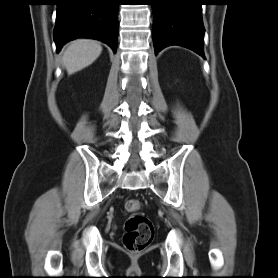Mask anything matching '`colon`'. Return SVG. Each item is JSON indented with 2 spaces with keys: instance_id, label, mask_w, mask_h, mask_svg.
Here are the masks:
<instances>
[{
  "instance_id": "obj_1",
  "label": "colon",
  "mask_w": 278,
  "mask_h": 278,
  "mask_svg": "<svg viewBox=\"0 0 278 278\" xmlns=\"http://www.w3.org/2000/svg\"><path fill=\"white\" fill-rule=\"evenodd\" d=\"M125 208L132 215L125 222L124 245L131 252H140L153 239V224L146 216L138 214L142 208V202L139 199L127 200Z\"/></svg>"
}]
</instances>
